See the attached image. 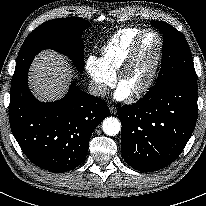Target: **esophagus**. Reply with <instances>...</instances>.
<instances>
[{
  "instance_id": "esophagus-1",
  "label": "esophagus",
  "mask_w": 206,
  "mask_h": 206,
  "mask_svg": "<svg viewBox=\"0 0 206 206\" xmlns=\"http://www.w3.org/2000/svg\"><path fill=\"white\" fill-rule=\"evenodd\" d=\"M109 110H110V113L111 114H116L117 113V108L116 107H114V106H111L110 108H109Z\"/></svg>"
}]
</instances>
